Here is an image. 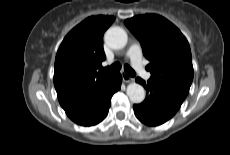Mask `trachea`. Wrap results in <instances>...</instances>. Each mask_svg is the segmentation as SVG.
<instances>
[{
    "mask_svg": "<svg viewBox=\"0 0 230 155\" xmlns=\"http://www.w3.org/2000/svg\"><path fill=\"white\" fill-rule=\"evenodd\" d=\"M120 69L121 65L119 62H115L110 67L106 68V70L113 72H118ZM124 71L128 76L134 77L136 75L135 71L128 64L124 66Z\"/></svg>",
    "mask_w": 230,
    "mask_h": 155,
    "instance_id": "3493384b",
    "label": "trachea"
}]
</instances>
